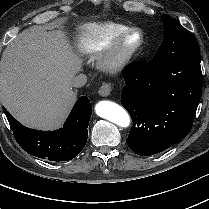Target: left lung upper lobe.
<instances>
[{
	"mask_svg": "<svg viewBox=\"0 0 209 209\" xmlns=\"http://www.w3.org/2000/svg\"><path fill=\"white\" fill-rule=\"evenodd\" d=\"M161 18L164 25V40L150 63H166L199 51L196 41L188 30L169 15H163Z\"/></svg>",
	"mask_w": 209,
	"mask_h": 209,
	"instance_id": "5c2ea615",
	"label": "left lung upper lobe"
}]
</instances>
